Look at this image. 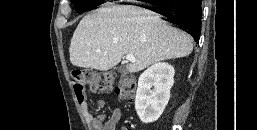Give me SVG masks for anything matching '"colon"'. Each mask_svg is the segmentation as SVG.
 Wrapping results in <instances>:
<instances>
[{"mask_svg":"<svg viewBox=\"0 0 257 130\" xmlns=\"http://www.w3.org/2000/svg\"><path fill=\"white\" fill-rule=\"evenodd\" d=\"M71 81L78 100L85 97V89L89 87L94 92H108L114 88L115 74L111 71L98 73L89 69H76L71 72ZM137 89L133 75L123 74L115 87L116 95L125 102H132Z\"/></svg>","mask_w":257,"mask_h":130,"instance_id":"obj_1","label":"colon"}]
</instances>
